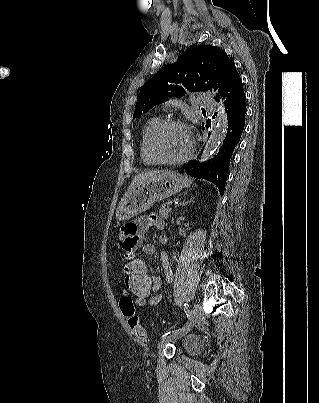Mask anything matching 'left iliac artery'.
Listing matches in <instances>:
<instances>
[{"mask_svg": "<svg viewBox=\"0 0 319 403\" xmlns=\"http://www.w3.org/2000/svg\"><path fill=\"white\" fill-rule=\"evenodd\" d=\"M184 306H185L184 310H185L186 316H187V318L189 319V317H190V315H191L190 308H189L188 304H186V303L184 304ZM185 324H186V323H185ZM185 324H184V325H185ZM184 325H183V327H184ZM183 327L178 328V329H176L175 331L166 332L164 335H162V337H165V336H168V335H172L174 332H176V331L182 329Z\"/></svg>", "mask_w": 319, "mask_h": 403, "instance_id": "1", "label": "left iliac artery"}]
</instances>
